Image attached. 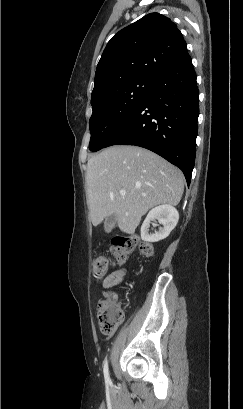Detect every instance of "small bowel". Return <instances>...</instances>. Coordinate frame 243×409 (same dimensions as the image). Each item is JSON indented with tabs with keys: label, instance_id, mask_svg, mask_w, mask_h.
Listing matches in <instances>:
<instances>
[{
	"label": "small bowel",
	"instance_id": "1",
	"mask_svg": "<svg viewBox=\"0 0 243 409\" xmlns=\"http://www.w3.org/2000/svg\"><path fill=\"white\" fill-rule=\"evenodd\" d=\"M127 274L126 268H120L111 272L103 281V287L109 289L111 287L120 285ZM102 297L106 299L114 300L117 297V293L110 290L102 291Z\"/></svg>",
	"mask_w": 243,
	"mask_h": 409
}]
</instances>
